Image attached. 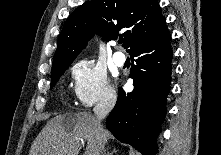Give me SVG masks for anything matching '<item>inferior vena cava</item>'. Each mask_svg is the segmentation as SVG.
I'll use <instances>...</instances> for the list:
<instances>
[{"label":"inferior vena cava","instance_id":"obj_1","mask_svg":"<svg viewBox=\"0 0 221 155\" xmlns=\"http://www.w3.org/2000/svg\"><path fill=\"white\" fill-rule=\"evenodd\" d=\"M116 94L114 92L106 94L99 100L97 105L94 107V114L98 122L99 129L102 130L101 121L110 113L116 103ZM104 142H100V153L104 155Z\"/></svg>","mask_w":221,"mask_h":155}]
</instances>
